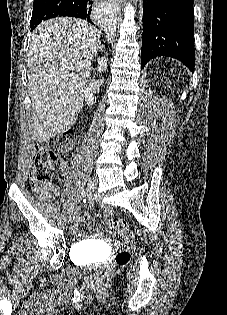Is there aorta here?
Here are the masks:
<instances>
[{"label": "aorta", "instance_id": "aorta-1", "mask_svg": "<svg viewBox=\"0 0 227 315\" xmlns=\"http://www.w3.org/2000/svg\"><path fill=\"white\" fill-rule=\"evenodd\" d=\"M133 1H134L135 5H136L137 2L140 1V0H133ZM109 31H112V28H109Z\"/></svg>", "mask_w": 227, "mask_h": 315}]
</instances>
